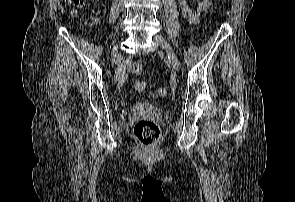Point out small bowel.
Wrapping results in <instances>:
<instances>
[{
  "label": "small bowel",
  "instance_id": "obj_1",
  "mask_svg": "<svg viewBox=\"0 0 295 202\" xmlns=\"http://www.w3.org/2000/svg\"><path fill=\"white\" fill-rule=\"evenodd\" d=\"M179 4L184 15L195 20L201 13L207 11L212 6V0H202L194 11L189 8L186 0H180ZM129 64L130 62L126 61L120 66L118 70V81H116V86H125Z\"/></svg>",
  "mask_w": 295,
  "mask_h": 202
}]
</instances>
